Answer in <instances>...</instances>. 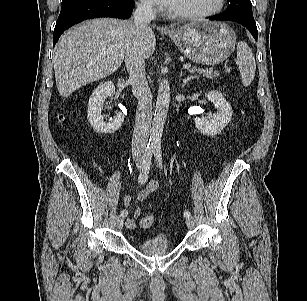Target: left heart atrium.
I'll return each instance as SVG.
<instances>
[{"mask_svg":"<svg viewBox=\"0 0 307 301\" xmlns=\"http://www.w3.org/2000/svg\"><path fill=\"white\" fill-rule=\"evenodd\" d=\"M162 9H171L175 0H152Z\"/></svg>","mask_w":307,"mask_h":301,"instance_id":"obj_1","label":"left heart atrium"}]
</instances>
